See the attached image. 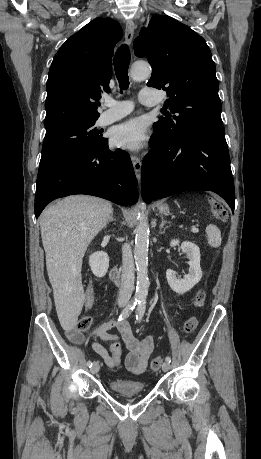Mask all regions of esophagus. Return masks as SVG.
<instances>
[{"instance_id":"obj_1","label":"esophagus","mask_w":261,"mask_h":459,"mask_svg":"<svg viewBox=\"0 0 261 459\" xmlns=\"http://www.w3.org/2000/svg\"><path fill=\"white\" fill-rule=\"evenodd\" d=\"M134 29H135V24L132 20H128L125 25V43L127 45H131L133 36H134ZM131 160L133 163V168L134 172L136 175V178L138 181H140L141 178V168H142V163L139 157L132 155Z\"/></svg>"}]
</instances>
